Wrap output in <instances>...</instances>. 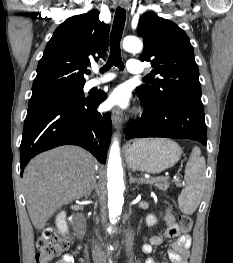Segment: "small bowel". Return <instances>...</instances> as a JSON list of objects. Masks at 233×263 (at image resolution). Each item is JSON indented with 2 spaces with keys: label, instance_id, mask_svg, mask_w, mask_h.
Segmentation results:
<instances>
[{
  "label": "small bowel",
  "instance_id": "c3829d8e",
  "mask_svg": "<svg viewBox=\"0 0 233 263\" xmlns=\"http://www.w3.org/2000/svg\"><path fill=\"white\" fill-rule=\"evenodd\" d=\"M163 219L167 224L166 230L158 236H152L145 239V243L142 246V252L150 255L154 252V247L174 239L168 251L171 263H188L189 250L192 242L190 235L184 232L175 222L174 216L170 210L167 209L164 212ZM56 263H74V257L71 254H64ZM145 263L157 262L153 257H148Z\"/></svg>",
  "mask_w": 233,
  "mask_h": 263
}]
</instances>
